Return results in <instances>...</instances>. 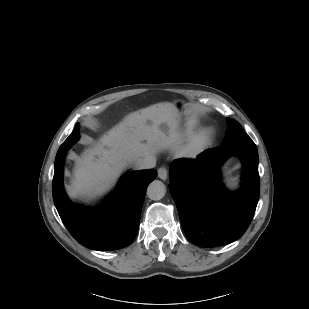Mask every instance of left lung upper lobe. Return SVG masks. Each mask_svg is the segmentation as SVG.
<instances>
[{"instance_id": "5c2ea615", "label": "left lung upper lobe", "mask_w": 309, "mask_h": 309, "mask_svg": "<svg viewBox=\"0 0 309 309\" xmlns=\"http://www.w3.org/2000/svg\"><path fill=\"white\" fill-rule=\"evenodd\" d=\"M228 130L221 144L222 147H228L235 144L250 142L251 138L244 132L241 125L234 119L227 118Z\"/></svg>"}]
</instances>
